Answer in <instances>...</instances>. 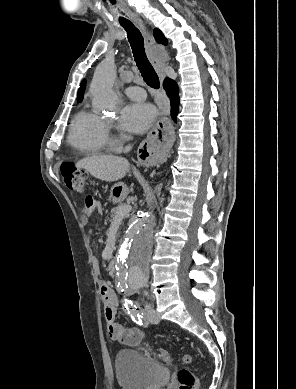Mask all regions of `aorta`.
<instances>
[{"mask_svg":"<svg viewBox=\"0 0 296 389\" xmlns=\"http://www.w3.org/2000/svg\"><path fill=\"white\" fill-rule=\"evenodd\" d=\"M115 80L116 65L113 60L107 59L96 68L91 82L95 104L109 111H113L118 103ZM154 223L151 211L143 213L132 223L121 241L116 255L117 283L121 288L137 291L148 283Z\"/></svg>","mask_w":296,"mask_h":389,"instance_id":"obj_1","label":"aorta"}]
</instances>
